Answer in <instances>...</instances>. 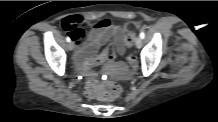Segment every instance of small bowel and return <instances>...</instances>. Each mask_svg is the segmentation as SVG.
Segmentation results:
<instances>
[{
  "label": "small bowel",
  "instance_id": "c3829d8e",
  "mask_svg": "<svg viewBox=\"0 0 218 122\" xmlns=\"http://www.w3.org/2000/svg\"><path fill=\"white\" fill-rule=\"evenodd\" d=\"M62 26L76 43L79 61L76 63V72L78 65L82 64L86 58L97 55L103 46L106 47L107 38L115 39L114 48L117 54L123 55L125 53L123 30L119 26L111 25L109 19H100L98 23L93 25L81 16H69L62 21Z\"/></svg>",
  "mask_w": 218,
  "mask_h": 122
}]
</instances>
